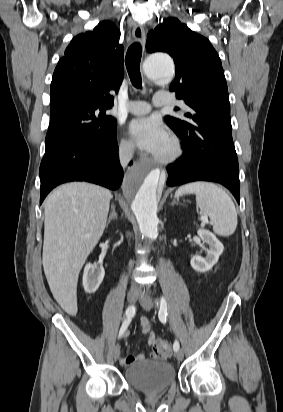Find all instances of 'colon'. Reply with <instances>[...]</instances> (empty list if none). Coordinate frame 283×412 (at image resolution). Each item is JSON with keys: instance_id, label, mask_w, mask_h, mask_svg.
I'll return each instance as SVG.
<instances>
[{"instance_id": "obj_1", "label": "colon", "mask_w": 283, "mask_h": 412, "mask_svg": "<svg viewBox=\"0 0 283 412\" xmlns=\"http://www.w3.org/2000/svg\"><path fill=\"white\" fill-rule=\"evenodd\" d=\"M154 352L159 358H166L171 355V345L165 340L158 339L154 342Z\"/></svg>"}]
</instances>
